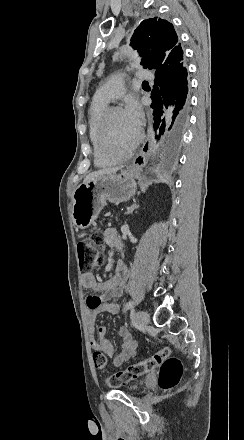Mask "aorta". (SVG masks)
<instances>
[{
    "label": "aorta",
    "instance_id": "762f6f07",
    "mask_svg": "<svg viewBox=\"0 0 244 440\" xmlns=\"http://www.w3.org/2000/svg\"><path fill=\"white\" fill-rule=\"evenodd\" d=\"M123 54L125 56H129V57H136L137 56L136 52H134L132 50H126L123 52ZM158 147H159V142L154 141L153 150H152V153L154 156L156 155V153L158 151Z\"/></svg>",
    "mask_w": 244,
    "mask_h": 440
}]
</instances>
